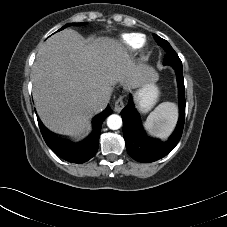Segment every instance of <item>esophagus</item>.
Listing matches in <instances>:
<instances>
[{"label": "esophagus", "mask_w": 227, "mask_h": 227, "mask_svg": "<svg viewBox=\"0 0 227 227\" xmlns=\"http://www.w3.org/2000/svg\"><path fill=\"white\" fill-rule=\"evenodd\" d=\"M124 107L123 96H119L114 103V111L119 113Z\"/></svg>", "instance_id": "1"}]
</instances>
